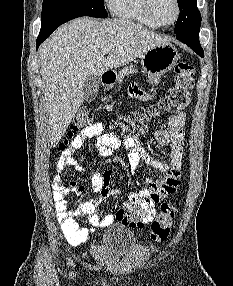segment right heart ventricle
Segmentation results:
<instances>
[{
	"instance_id": "right-heart-ventricle-1",
	"label": "right heart ventricle",
	"mask_w": 233,
	"mask_h": 286,
	"mask_svg": "<svg viewBox=\"0 0 233 286\" xmlns=\"http://www.w3.org/2000/svg\"><path fill=\"white\" fill-rule=\"evenodd\" d=\"M110 12L119 18L131 20L151 28L158 26L149 18L143 0H106Z\"/></svg>"
}]
</instances>
